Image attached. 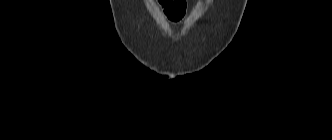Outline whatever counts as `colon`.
Masks as SVG:
<instances>
[{"mask_svg":"<svg viewBox=\"0 0 332 140\" xmlns=\"http://www.w3.org/2000/svg\"><path fill=\"white\" fill-rule=\"evenodd\" d=\"M158 2L171 19L182 16L185 11V0H158Z\"/></svg>","mask_w":332,"mask_h":140,"instance_id":"1","label":"colon"}]
</instances>
